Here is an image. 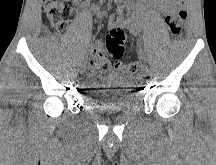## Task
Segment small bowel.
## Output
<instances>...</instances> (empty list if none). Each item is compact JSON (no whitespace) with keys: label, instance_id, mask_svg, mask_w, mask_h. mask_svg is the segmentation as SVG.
<instances>
[{"label":"small bowel","instance_id":"obj_1","mask_svg":"<svg viewBox=\"0 0 216 165\" xmlns=\"http://www.w3.org/2000/svg\"><path fill=\"white\" fill-rule=\"evenodd\" d=\"M128 0H118V6L116 9L117 15L115 19L110 20L109 26L111 28L113 27H121V26H129L131 32L133 34H138L140 33L142 27L140 23V18L143 12V5L142 4H137L135 6V15L131 18H127L124 15V4ZM184 0H154L155 5L157 9L162 12L163 14H168L170 13L174 7L179 6ZM103 12L98 11L99 17L102 16ZM100 53L103 52V47L100 43L96 45L94 53Z\"/></svg>","mask_w":216,"mask_h":165}]
</instances>
